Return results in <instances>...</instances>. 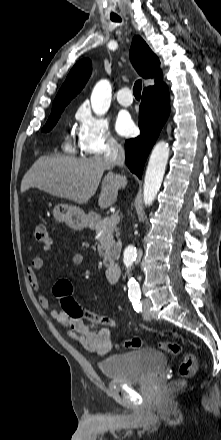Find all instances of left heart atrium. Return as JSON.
<instances>
[{
  "label": "left heart atrium",
  "mask_w": 221,
  "mask_h": 440,
  "mask_svg": "<svg viewBox=\"0 0 221 440\" xmlns=\"http://www.w3.org/2000/svg\"><path fill=\"white\" fill-rule=\"evenodd\" d=\"M115 127L117 132L123 136L132 135L135 129V125L127 113H122L118 116Z\"/></svg>",
  "instance_id": "left-heart-atrium-1"
}]
</instances>
